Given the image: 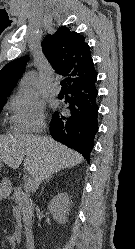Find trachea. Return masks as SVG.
I'll use <instances>...</instances> for the list:
<instances>
[{
    "mask_svg": "<svg viewBox=\"0 0 135 249\" xmlns=\"http://www.w3.org/2000/svg\"><path fill=\"white\" fill-rule=\"evenodd\" d=\"M60 84H61L62 88H67V83H66L65 79L62 80Z\"/></svg>",
    "mask_w": 135,
    "mask_h": 249,
    "instance_id": "1",
    "label": "trachea"
}]
</instances>
